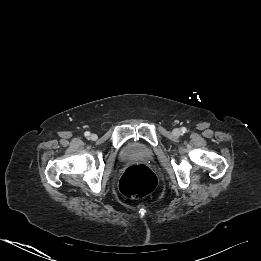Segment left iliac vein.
<instances>
[{
    "instance_id": "1",
    "label": "left iliac vein",
    "mask_w": 261,
    "mask_h": 261,
    "mask_svg": "<svg viewBox=\"0 0 261 261\" xmlns=\"http://www.w3.org/2000/svg\"><path fill=\"white\" fill-rule=\"evenodd\" d=\"M173 134L175 135V136H179L180 134H181V131H180V129H174L173 130Z\"/></svg>"
}]
</instances>
